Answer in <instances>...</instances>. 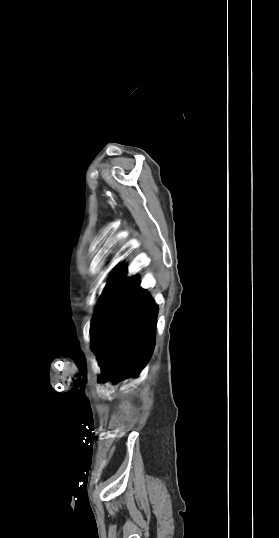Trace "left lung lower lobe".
<instances>
[{
  "instance_id": "0a47b994",
  "label": "left lung lower lobe",
  "mask_w": 279,
  "mask_h": 538,
  "mask_svg": "<svg viewBox=\"0 0 279 538\" xmlns=\"http://www.w3.org/2000/svg\"><path fill=\"white\" fill-rule=\"evenodd\" d=\"M121 267L108 281L92 319L93 349L101 366V382L135 378L154 350L158 307Z\"/></svg>"
}]
</instances>
